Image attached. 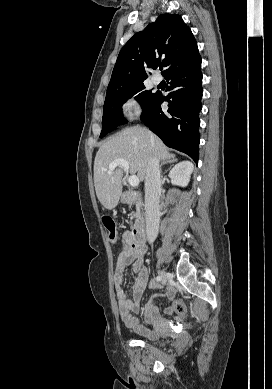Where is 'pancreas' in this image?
<instances>
[{
    "label": "pancreas",
    "instance_id": "pancreas-1",
    "mask_svg": "<svg viewBox=\"0 0 272 389\" xmlns=\"http://www.w3.org/2000/svg\"><path fill=\"white\" fill-rule=\"evenodd\" d=\"M129 204L134 205L136 208V212H132L130 216H131V220L135 219V223H137L142 216V211H143L142 202L138 199H133Z\"/></svg>",
    "mask_w": 272,
    "mask_h": 389
}]
</instances>
